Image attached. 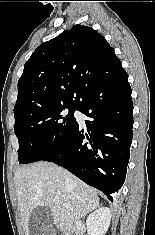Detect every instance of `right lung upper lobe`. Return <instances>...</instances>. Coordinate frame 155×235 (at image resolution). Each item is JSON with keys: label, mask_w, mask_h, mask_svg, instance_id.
I'll use <instances>...</instances> for the list:
<instances>
[{"label": "right lung upper lobe", "mask_w": 155, "mask_h": 235, "mask_svg": "<svg viewBox=\"0 0 155 235\" xmlns=\"http://www.w3.org/2000/svg\"><path fill=\"white\" fill-rule=\"evenodd\" d=\"M121 71V61L104 36L75 25L42 43L25 63L14 116L77 104L86 90Z\"/></svg>", "instance_id": "cb5924a9"}]
</instances>
